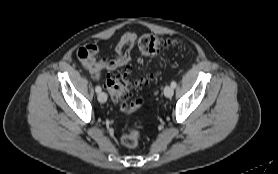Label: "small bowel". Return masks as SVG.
<instances>
[{"label":"small bowel","instance_id":"small-bowel-1","mask_svg":"<svg viewBox=\"0 0 278 174\" xmlns=\"http://www.w3.org/2000/svg\"><path fill=\"white\" fill-rule=\"evenodd\" d=\"M137 34L135 31L125 32L116 47V55L113 58H99L98 47L94 43H88L81 47L78 59L84 69L96 80H99L103 71H113L128 64L132 57Z\"/></svg>","mask_w":278,"mask_h":174}]
</instances>
